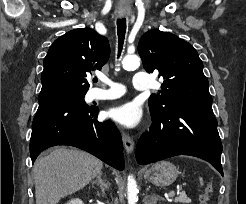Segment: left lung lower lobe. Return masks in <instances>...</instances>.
I'll use <instances>...</instances> for the list:
<instances>
[{"instance_id":"0a47b994","label":"left lung lower lobe","mask_w":246,"mask_h":204,"mask_svg":"<svg viewBox=\"0 0 246 204\" xmlns=\"http://www.w3.org/2000/svg\"><path fill=\"white\" fill-rule=\"evenodd\" d=\"M151 117L152 126L140 138L135 152L139 164L191 155L208 161L223 175L222 143L211 104H175Z\"/></svg>"}]
</instances>
